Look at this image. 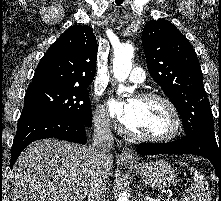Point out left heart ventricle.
Masks as SVG:
<instances>
[{"label": "left heart ventricle", "mask_w": 221, "mask_h": 201, "mask_svg": "<svg viewBox=\"0 0 221 201\" xmlns=\"http://www.w3.org/2000/svg\"><path fill=\"white\" fill-rule=\"evenodd\" d=\"M130 111L122 123L133 133L148 136L167 135L172 131L173 120L165 107L158 100L140 101L130 99Z\"/></svg>", "instance_id": "left-heart-ventricle-1"}]
</instances>
